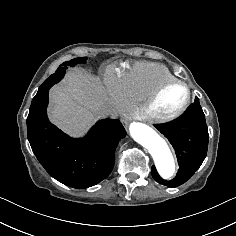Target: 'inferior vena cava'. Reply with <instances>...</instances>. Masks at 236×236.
<instances>
[{"mask_svg":"<svg viewBox=\"0 0 236 236\" xmlns=\"http://www.w3.org/2000/svg\"><path fill=\"white\" fill-rule=\"evenodd\" d=\"M97 113L100 114L101 116H109L110 118L114 117L112 110L106 106H100L99 109L97 110Z\"/></svg>","mask_w":236,"mask_h":236,"instance_id":"602c4592","label":"inferior vena cava"}]
</instances>
